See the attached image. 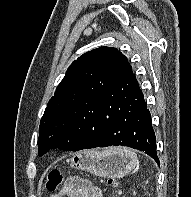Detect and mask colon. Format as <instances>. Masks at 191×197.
I'll use <instances>...</instances> for the list:
<instances>
[{
	"label": "colon",
	"mask_w": 191,
	"mask_h": 197,
	"mask_svg": "<svg viewBox=\"0 0 191 197\" xmlns=\"http://www.w3.org/2000/svg\"><path fill=\"white\" fill-rule=\"evenodd\" d=\"M63 181V174L60 170H52L48 174L46 189L49 192H55ZM110 183H114L110 180Z\"/></svg>",
	"instance_id": "1"
}]
</instances>
